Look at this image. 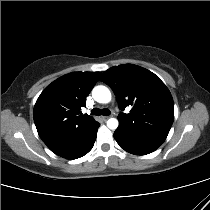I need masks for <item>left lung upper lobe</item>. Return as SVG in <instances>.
Listing matches in <instances>:
<instances>
[{
  "label": "left lung upper lobe",
  "mask_w": 210,
  "mask_h": 210,
  "mask_svg": "<svg viewBox=\"0 0 210 210\" xmlns=\"http://www.w3.org/2000/svg\"><path fill=\"white\" fill-rule=\"evenodd\" d=\"M100 80L116 95L119 108L132 106L118 115L116 131L126 136L163 143L174 120L171 93L154 73L133 64L106 70Z\"/></svg>",
  "instance_id": "left-lung-upper-lobe-1"
}]
</instances>
